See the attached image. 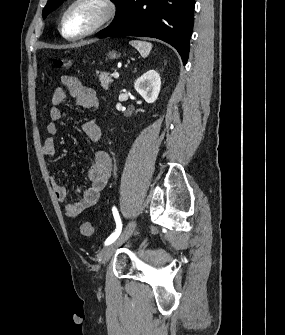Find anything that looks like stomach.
Masks as SVG:
<instances>
[{"instance_id": "0dacf381", "label": "stomach", "mask_w": 285, "mask_h": 335, "mask_svg": "<svg viewBox=\"0 0 285 335\" xmlns=\"http://www.w3.org/2000/svg\"><path fill=\"white\" fill-rule=\"evenodd\" d=\"M108 56H109L110 60H114V58H116L115 52H109Z\"/></svg>"}]
</instances>
